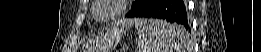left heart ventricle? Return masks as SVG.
<instances>
[{
    "label": "left heart ventricle",
    "instance_id": "obj_1",
    "mask_svg": "<svg viewBox=\"0 0 261 52\" xmlns=\"http://www.w3.org/2000/svg\"><path fill=\"white\" fill-rule=\"evenodd\" d=\"M112 12H113V7L106 6V7L101 8L98 11V16L100 18H106V17L110 16L112 14Z\"/></svg>",
    "mask_w": 261,
    "mask_h": 52
}]
</instances>
